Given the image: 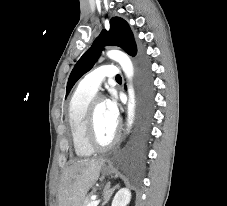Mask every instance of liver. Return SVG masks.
I'll list each match as a JSON object with an SVG mask.
<instances>
[{"label":"liver","mask_w":227,"mask_h":206,"mask_svg":"<svg viewBox=\"0 0 227 206\" xmlns=\"http://www.w3.org/2000/svg\"><path fill=\"white\" fill-rule=\"evenodd\" d=\"M103 163V159H87L69 165L58 187V206H81L88 190L98 179Z\"/></svg>","instance_id":"obj_1"}]
</instances>
